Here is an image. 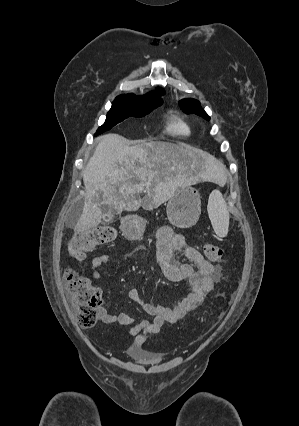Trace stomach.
<instances>
[{
	"label": "stomach",
	"instance_id": "0dacf381",
	"mask_svg": "<svg viewBox=\"0 0 299 426\" xmlns=\"http://www.w3.org/2000/svg\"><path fill=\"white\" fill-rule=\"evenodd\" d=\"M167 217L170 223L179 228H189L195 225L201 214V197L199 191L187 186L178 188L168 200ZM144 226L136 220L126 223V235L131 239L139 238Z\"/></svg>",
	"mask_w": 299,
	"mask_h": 426
}]
</instances>
